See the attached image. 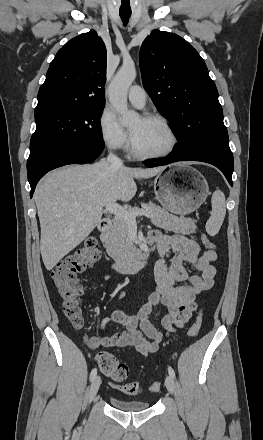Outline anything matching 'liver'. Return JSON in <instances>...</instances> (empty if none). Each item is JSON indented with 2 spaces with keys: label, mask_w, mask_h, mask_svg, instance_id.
<instances>
[{
  "label": "liver",
  "mask_w": 263,
  "mask_h": 440,
  "mask_svg": "<svg viewBox=\"0 0 263 440\" xmlns=\"http://www.w3.org/2000/svg\"><path fill=\"white\" fill-rule=\"evenodd\" d=\"M166 167H113L107 161L67 166L49 173L34 193L41 227L40 250L47 270L76 248L100 223L103 207L136 194L134 178Z\"/></svg>",
  "instance_id": "liver-1"
}]
</instances>
